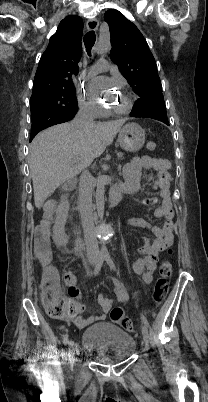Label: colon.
<instances>
[{
	"label": "colon",
	"mask_w": 208,
	"mask_h": 402,
	"mask_svg": "<svg viewBox=\"0 0 208 402\" xmlns=\"http://www.w3.org/2000/svg\"><path fill=\"white\" fill-rule=\"evenodd\" d=\"M148 151H155L156 144L148 142L146 145ZM50 234L42 232L40 229L35 234V248L37 263L45 265L43 274L44 279L40 285L44 291L42 299V308H47V314H75L74 299H65V295L70 293L68 287L70 280L68 277H60L58 263L53 261L49 251ZM159 277L151 292L152 304L161 305L168 293V280L172 275V265L168 260H161L158 266ZM111 320L125 330L132 328V322L122 307H114L110 313Z\"/></svg>",
	"instance_id": "obj_1"
}]
</instances>
